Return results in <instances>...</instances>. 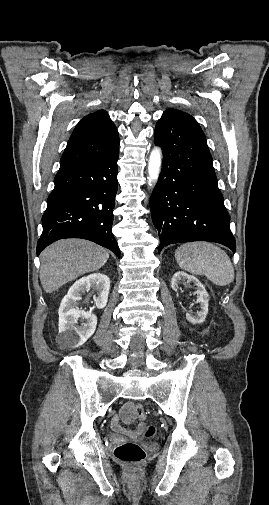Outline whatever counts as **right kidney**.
<instances>
[{
	"label": "right kidney",
	"instance_id": "right-kidney-1",
	"mask_svg": "<svg viewBox=\"0 0 269 505\" xmlns=\"http://www.w3.org/2000/svg\"><path fill=\"white\" fill-rule=\"evenodd\" d=\"M97 294L94 297V308L106 306L110 290V279L102 273H93L76 281L68 290L59 308V338L67 346L83 345L95 332L97 317L92 309L89 312L79 310L77 302L81 295L90 289ZM78 320L82 323L78 325Z\"/></svg>",
	"mask_w": 269,
	"mask_h": 505
}]
</instances>
